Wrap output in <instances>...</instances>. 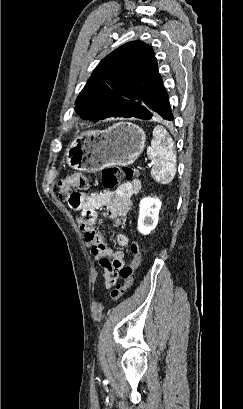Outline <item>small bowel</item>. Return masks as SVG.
<instances>
[{
  "label": "small bowel",
  "instance_id": "1",
  "mask_svg": "<svg viewBox=\"0 0 243 409\" xmlns=\"http://www.w3.org/2000/svg\"><path fill=\"white\" fill-rule=\"evenodd\" d=\"M140 190L141 182L134 180L122 183L113 191L90 195L76 193L80 203L72 208L80 211L76 220L86 244L90 247L91 254L102 269L106 289L113 287L120 279V269L125 266L126 260L123 250H113L105 243L103 234L97 228V210L104 207L106 216L114 220L117 225H121L123 217L130 210L132 198ZM116 239L120 246H126L129 243L127 235L121 232L117 233Z\"/></svg>",
  "mask_w": 243,
  "mask_h": 409
}]
</instances>
